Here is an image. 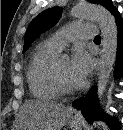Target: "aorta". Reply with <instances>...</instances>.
I'll return each instance as SVG.
<instances>
[{
    "instance_id": "762f6f07",
    "label": "aorta",
    "mask_w": 123,
    "mask_h": 130,
    "mask_svg": "<svg viewBox=\"0 0 123 130\" xmlns=\"http://www.w3.org/2000/svg\"><path fill=\"white\" fill-rule=\"evenodd\" d=\"M71 15L75 18L95 20L100 27L103 49L98 73L97 95L99 102H101L116 58L118 31L115 18L102 6L83 2L72 8Z\"/></svg>"
}]
</instances>
